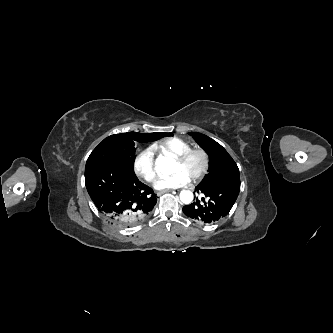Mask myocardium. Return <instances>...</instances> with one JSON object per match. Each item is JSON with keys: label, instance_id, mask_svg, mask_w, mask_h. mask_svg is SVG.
<instances>
[{"label": "myocardium", "instance_id": "1", "mask_svg": "<svg viewBox=\"0 0 333 333\" xmlns=\"http://www.w3.org/2000/svg\"><path fill=\"white\" fill-rule=\"evenodd\" d=\"M193 155H198L202 159V167L200 171L191 178L193 182H198L204 178V176L207 174L209 167H210V156L209 154L201 148H194L189 149L188 151L180 154L175 158L176 162L180 164L186 163Z\"/></svg>", "mask_w": 333, "mask_h": 333}]
</instances>
